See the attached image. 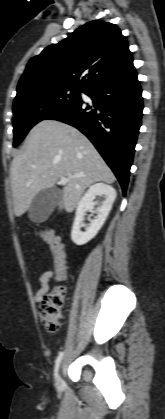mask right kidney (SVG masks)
Returning a JSON list of instances; mask_svg holds the SVG:
<instances>
[{"instance_id":"ca27d5eb","label":"right kidney","mask_w":165,"mask_h":419,"mask_svg":"<svg viewBox=\"0 0 165 419\" xmlns=\"http://www.w3.org/2000/svg\"><path fill=\"white\" fill-rule=\"evenodd\" d=\"M116 195L115 189L105 183H96L87 190L78 203L71 231V239L75 244L84 245L96 236L112 209ZM96 196H103L104 201L102 202V205L96 209L97 217L94 220H91L85 232H82L80 229L84 225V215L87 211L94 209L93 200Z\"/></svg>"}]
</instances>
